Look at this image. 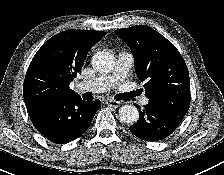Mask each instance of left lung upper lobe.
Here are the masks:
<instances>
[{"label":"left lung upper lobe","instance_id":"left-lung-upper-lobe-1","mask_svg":"<svg viewBox=\"0 0 224 175\" xmlns=\"http://www.w3.org/2000/svg\"><path fill=\"white\" fill-rule=\"evenodd\" d=\"M134 55L138 79L149 100L190 104V79L184 59L164 36L146 25L118 29Z\"/></svg>","mask_w":224,"mask_h":175}]
</instances>
